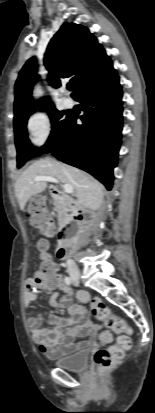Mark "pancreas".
<instances>
[{"instance_id": "1", "label": "pancreas", "mask_w": 155, "mask_h": 413, "mask_svg": "<svg viewBox=\"0 0 155 413\" xmlns=\"http://www.w3.org/2000/svg\"><path fill=\"white\" fill-rule=\"evenodd\" d=\"M53 204L55 206V210L57 212L58 216V221L62 222L63 218L68 216L67 214L69 213V209L65 206V204L60 200L58 196H55L53 198Z\"/></svg>"}]
</instances>
